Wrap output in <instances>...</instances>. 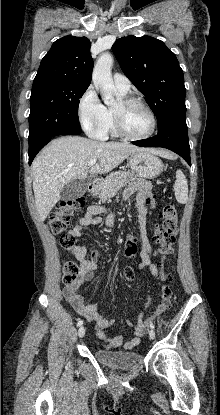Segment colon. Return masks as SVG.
Segmentation results:
<instances>
[{"label": "colon", "instance_id": "5ec220e1", "mask_svg": "<svg viewBox=\"0 0 220 415\" xmlns=\"http://www.w3.org/2000/svg\"><path fill=\"white\" fill-rule=\"evenodd\" d=\"M152 202V200H151ZM85 200L82 197L67 200L59 204L51 213L48 225L52 233L60 235V244L67 251H76V239L69 234L71 228V216L83 208ZM162 223L154 231L155 249L154 255L158 259V279L161 287V300L156 312L161 314L172 307V290L166 283L169 276L164 271L165 261L173 252V245L178 232V214L173 204H166L161 212ZM137 252V244L134 241L125 243L124 253L127 257H133ZM79 273V265L76 261H67L63 268V283L72 285L76 282ZM127 282L134 279V272L126 268L123 272Z\"/></svg>", "mask_w": 220, "mask_h": 415}]
</instances>
